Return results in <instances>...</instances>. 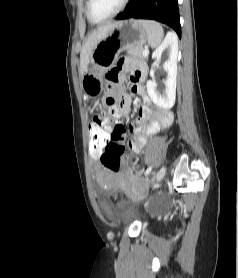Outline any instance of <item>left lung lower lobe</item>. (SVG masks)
<instances>
[{
    "instance_id": "obj_1",
    "label": "left lung lower lobe",
    "mask_w": 238,
    "mask_h": 278,
    "mask_svg": "<svg viewBox=\"0 0 238 278\" xmlns=\"http://www.w3.org/2000/svg\"><path fill=\"white\" fill-rule=\"evenodd\" d=\"M151 19L172 27L181 37L177 0H130L123 13L116 19Z\"/></svg>"
}]
</instances>
